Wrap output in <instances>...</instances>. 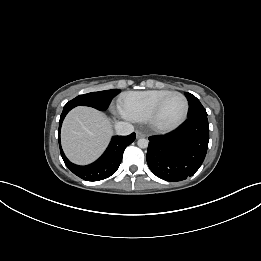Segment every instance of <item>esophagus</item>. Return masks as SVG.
I'll use <instances>...</instances> for the list:
<instances>
[{
  "instance_id": "obj_1",
  "label": "esophagus",
  "mask_w": 261,
  "mask_h": 261,
  "mask_svg": "<svg viewBox=\"0 0 261 261\" xmlns=\"http://www.w3.org/2000/svg\"><path fill=\"white\" fill-rule=\"evenodd\" d=\"M142 137H145V134L140 132V131H136V138L139 139V138H142Z\"/></svg>"
}]
</instances>
